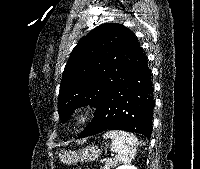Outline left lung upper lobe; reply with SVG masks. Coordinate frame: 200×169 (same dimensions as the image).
Wrapping results in <instances>:
<instances>
[{
    "instance_id": "5c2ea615",
    "label": "left lung upper lobe",
    "mask_w": 200,
    "mask_h": 169,
    "mask_svg": "<svg viewBox=\"0 0 200 169\" xmlns=\"http://www.w3.org/2000/svg\"><path fill=\"white\" fill-rule=\"evenodd\" d=\"M145 58L135 35L117 23L100 25L72 50L58 97V113L66 121L74 109L97 107Z\"/></svg>"
}]
</instances>
